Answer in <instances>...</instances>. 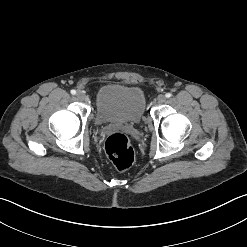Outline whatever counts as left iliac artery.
<instances>
[{"mask_svg": "<svg viewBox=\"0 0 247 247\" xmlns=\"http://www.w3.org/2000/svg\"><path fill=\"white\" fill-rule=\"evenodd\" d=\"M165 96H166L167 98H170V97L172 96V94H171V93H167Z\"/></svg>", "mask_w": 247, "mask_h": 247, "instance_id": "left-iliac-artery-1", "label": "left iliac artery"}]
</instances>
